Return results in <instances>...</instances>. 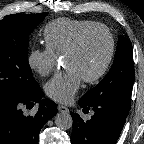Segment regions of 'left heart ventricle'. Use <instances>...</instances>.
I'll use <instances>...</instances> for the list:
<instances>
[{"label":"left heart ventricle","mask_w":144,"mask_h":144,"mask_svg":"<svg viewBox=\"0 0 144 144\" xmlns=\"http://www.w3.org/2000/svg\"><path fill=\"white\" fill-rule=\"evenodd\" d=\"M109 50V40L104 31L90 32L79 49L64 58L67 68H75L82 78L94 75L103 65Z\"/></svg>","instance_id":"1"}]
</instances>
